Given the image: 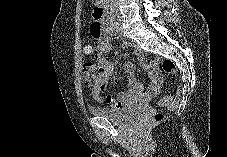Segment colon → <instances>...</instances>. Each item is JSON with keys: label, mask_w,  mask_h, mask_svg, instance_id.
<instances>
[{"label": "colon", "mask_w": 227, "mask_h": 157, "mask_svg": "<svg viewBox=\"0 0 227 157\" xmlns=\"http://www.w3.org/2000/svg\"><path fill=\"white\" fill-rule=\"evenodd\" d=\"M92 33L96 38L100 36V32H92ZM161 67L163 72L169 76L175 75L177 72L174 62L169 59L163 60L161 63ZM83 73H84L85 83L87 85H93L99 74V69L91 62H86L83 66ZM158 104L160 107H163L166 109H173L176 106L177 102L173 98V96L168 95L161 98ZM163 118H164L163 113H157L153 117V122H156V123L161 122Z\"/></svg>", "instance_id": "obj_1"}]
</instances>
